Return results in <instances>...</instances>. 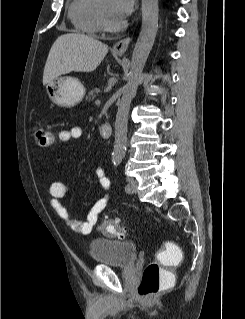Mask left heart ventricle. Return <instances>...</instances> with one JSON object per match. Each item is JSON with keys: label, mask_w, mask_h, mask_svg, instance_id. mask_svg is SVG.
Returning <instances> with one entry per match:
<instances>
[{"label": "left heart ventricle", "mask_w": 245, "mask_h": 319, "mask_svg": "<svg viewBox=\"0 0 245 319\" xmlns=\"http://www.w3.org/2000/svg\"><path fill=\"white\" fill-rule=\"evenodd\" d=\"M101 2L109 18L115 22H119L120 20H118L113 13V0H101Z\"/></svg>", "instance_id": "1"}]
</instances>
